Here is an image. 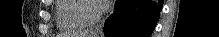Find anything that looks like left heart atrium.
I'll return each instance as SVG.
<instances>
[{
    "instance_id": "left-heart-atrium-1",
    "label": "left heart atrium",
    "mask_w": 219,
    "mask_h": 37,
    "mask_svg": "<svg viewBox=\"0 0 219 37\" xmlns=\"http://www.w3.org/2000/svg\"><path fill=\"white\" fill-rule=\"evenodd\" d=\"M107 3H108L107 0H97L96 1V4H97L98 7H104V6L107 5Z\"/></svg>"
}]
</instances>
